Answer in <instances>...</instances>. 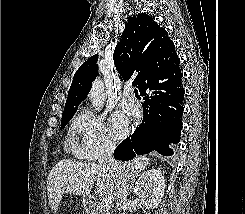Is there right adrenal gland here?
Returning <instances> with one entry per match:
<instances>
[{
    "label": "right adrenal gland",
    "mask_w": 245,
    "mask_h": 214,
    "mask_svg": "<svg viewBox=\"0 0 245 214\" xmlns=\"http://www.w3.org/2000/svg\"><path fill=\"white\" fill-rule=\"evenodd\" d=\"M135 182V179H133L132 181H131V186H130V190L132 189V184Z\"/></svg>",
    "instance_id": "obj_1"
}]
</instances>
